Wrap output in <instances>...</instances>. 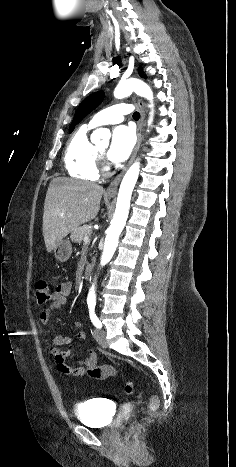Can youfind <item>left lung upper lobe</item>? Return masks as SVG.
Instances as JSON below:
<instances>
[{
	"instance_id": "1",
	"label": "left lung upper lobe",
	"mask_w": 236,
	"mask_h": 467,
	"mask_svg": "<svg viewBox=\"0 0 236 467\" xmlns=\"http://www.w3.org/2000/svg\"><path fill=\"white\" fill-rule=\"evenodd\" d=\"M139 75L145 78L142 68H139ZM103 98H104V92L98 91V92L91 94L90 96H88L86 99L82 101L70 125V128H69L70 133L74 130L75 125H77L84 117H86L89 113H91L96 107H98L101 104Z\"/></svg>"
}]
</instances>
